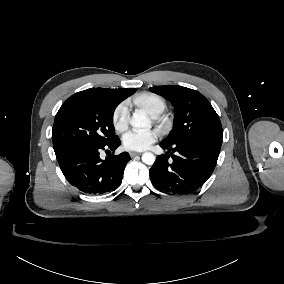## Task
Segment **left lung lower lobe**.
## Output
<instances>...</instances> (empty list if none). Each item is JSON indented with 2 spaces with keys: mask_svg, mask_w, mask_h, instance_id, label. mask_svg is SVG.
I'll use <instances>...</instances> for the list:
<instances>
[{
  "mask_svg": "<svg viewBox=\"0 0 284 284\" xmlns=\"http://www.w3.org/2000/svg\"><path fill=\"white\" fill-rule=\"evenodd\" d=\"M166 155L157 157L149 170L152 184L162 192L186 194L198 189L211 176L220 147L207 142H161ZM175 153L174 155L171 152ZM172 157V160L168 158Z\"/></svg>",
  "mask_w": 284,
  "mask_h": 284,
  "instance_id": "left-lung-lower-lobe-1",
  "label": "left lung lower lobe"
}]
</instances>
